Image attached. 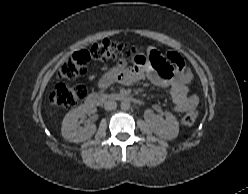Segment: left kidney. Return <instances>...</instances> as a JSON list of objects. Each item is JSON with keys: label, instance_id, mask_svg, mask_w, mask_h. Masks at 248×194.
I'll return each mask as SVG.
<instances>
[{"label": "left kidney", "instance_id": "1", "mask_svg": "<svg viewBox=\"0 0 248 194\" xmlns=\"http://www.w3.org/2000/svg\"><path fill=\"white\" fill-rule=\"evenodd\" d=\"M154 134L165 139L172 140L178 136L179 123L175 116L170 113L166 114V119L157 120L151 127Z\"/></svg>", "mask_w": 248, "mask_h": 194}]
</instances>
